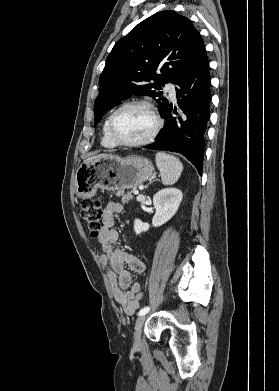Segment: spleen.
<instances>
[{
	"label": "spleen",
	"mask_w": 279,
	"mask_h": 391,
	"mask_svg": "<svg viewBox=\"0 0 279 391\" xmlns=\"http://www.w3.org/2000/svg\"><path fill=\"white\" fill-rule=\"evenodd\" d=\"M155 161L161 174L162 183L164 185L175 184L183 171V165L180 160L164 152H158Z\"/></svg>",
	"instance_id": "obj_1"
}]
</instances>
